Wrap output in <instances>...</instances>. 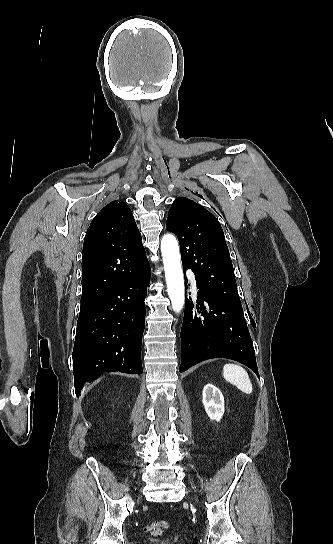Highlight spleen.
<instances>
[{
  "instance_id": "3e777b00",
  "label": "spleen",
  "mask_w": 333,
  "mask_h": 544,
  "mask_svg": "<svg viewBox=\"0 0 333 544\" xmlns=\"http://www.w3.org/2000/svg\"><path fill=\"white\" fill-rule=\"evenodd\" d=\"M223 377L230 384L236 386L246 394L253 392V387L249 376L244 368L237 364H225L223 366Z\"/></svg>"
}]
</instances>
